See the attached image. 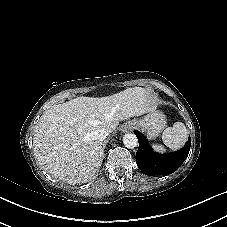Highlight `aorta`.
Masks as SVG:
<instances>
[{
  "instance_id": "762f6f07",
  "label": "aorta",
  "mask_w": 227,
  "mask_h": 227,
  "mask_svg": "<svg viewBox=\"0 0 227 227\" xmlns=\"http://www.w3.org/2000/svg\"><path fill=\"white\" fill-rule=\"evenodd\" d=\"M123 143H124L125 147L133 149L137 146L138 139L134 134L127 133L123 137Z\"/></svg>"
}]
</instances>
